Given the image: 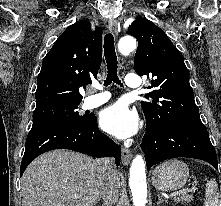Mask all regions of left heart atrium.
I'll list each match as a JSON object with an SVG mask.
<instances>
[{"instance_id":"39dd6f15","label":"left heart atrium","mask_w":221,"mask_h":206,"mask_svg":"<svg viewBox=\"0 0 221 206\" xmlns=\"http://www.w3.org/2000/svg\"><path fill=\"white\" fill-rule=\"evenodd\" d=\"M100 126L118 138H127L137 131L138 118L125 102L118 101L101 112Z\"/></svg>"}]
</instances>
